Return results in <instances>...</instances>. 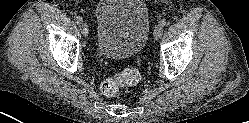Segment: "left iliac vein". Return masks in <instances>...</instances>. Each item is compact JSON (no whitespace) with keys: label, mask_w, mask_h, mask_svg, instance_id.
<instances>
[{"label":"left iliac vein","mask_w":249,"mask_h":123,"mask_svg":"<svg viewBox=\"0 0 249 123\" xmlns=\"http://www.w3.org/2000/svg\"><path fill=\"white\" fill-rule=\"evenodd\" d=\"M162 33H163V28L158 25L157 27H155L154 29V38L157 40L159 39L161 36H162Z\"/></svg>","instance_id":"4c4485c4"}]
</instances>
